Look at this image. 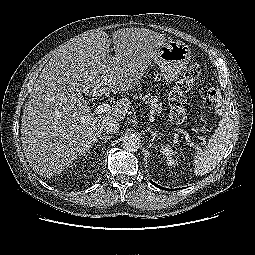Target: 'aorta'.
I'll use <instances>...</instances> for the list:
<instances>
[{
  "mask_svg": "<svg viewBox=\"0 0 255 255\" xmlns=\"http://www.w3.org/2000/svg\"><path fill=\"white\" fill-rule=\"evenodd\" d=\"M122 146L128 152H135L140 146V141L135 135H128L123 139Z\"/></svg>",
  "mask_w": 255,
  "mask_h": 255,
  "instance_id": "obj_1",
  "label": "aorta"
}]
</instances>
